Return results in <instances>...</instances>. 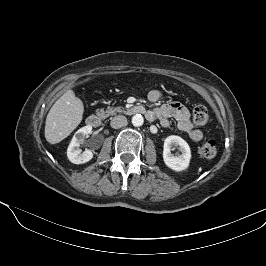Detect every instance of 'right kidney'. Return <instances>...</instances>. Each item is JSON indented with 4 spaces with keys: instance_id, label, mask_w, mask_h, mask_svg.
Wrapping results in <instances>:
<instances>
[{
    "instance_id": "right-kidney-1",
    "label": "right kidney",
    "mask_w": 266,
    "mask_h": 266,
    "mask_svg": "<svg viewBox=\"0 0 266 266\" xmlns=\"http://www.w3.org/2000/svg\"><path fill=\"white\" fill-rule=\"evenodd\" d=\"M92 133V126L87 125L80 128L73 136L68 149L67 157L74 164H82L90 161L93 158L91 150L81 152L79 146L84 142L85 138Z\"/></svg>"
}]
</instances>
